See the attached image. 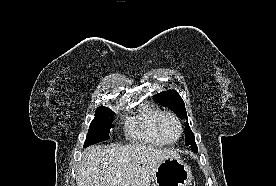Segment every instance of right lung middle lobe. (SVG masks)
I'll return each instance as SVG.
<instances>
[{"mask_svg": "<svg viewBox=\"0 0 276 186\" xmlns=\"http://www.w3.org/2000/svg\"><path fill=\"white\" fill-rule=\"evenodd\" d=\"M113 115L114 113L108 107L100 106L97 108L95 118L90 124L84 147L110 138L109 132L114 127L112 124Z\"/></svg>", "mask_w": 276, "mask_h": 186, "instance_id": "1", "label": "right lung middle lobe"}]
</instances>
